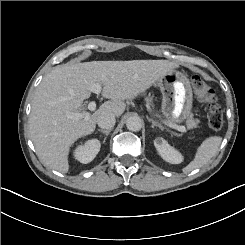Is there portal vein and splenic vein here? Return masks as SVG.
Masks as SVG:
<instances>
[{
	"instance_id": "obj_1",
	"label": "portal vein and splenic vein",
	"mask_w": 245,
	"mask_h": 245,
	"mask_svg": "<svg viewBox=\"0 0 245 245\" xmlns=\"http://www.w3.org/2000/svg\"><path fill=\"white\" fill-rule=\"evenodd\" d=\"M88 90L99 94L101 91V83H96V84L88 87ZM88 109H89V111H82V112H75V113L69 112V113H67V116L73 120L87 118L90 116V111L91 112L96 111V109H97L96 104L94 102L89 103ZM156 116L161 121V123H163L167 127H170L172 129H175V130L180 131V132H184L186 130L183 125H175L173 123H170L167 120H165L164 118L160 117L159 114H156Z\"/></svg>"
}]
</instances>
